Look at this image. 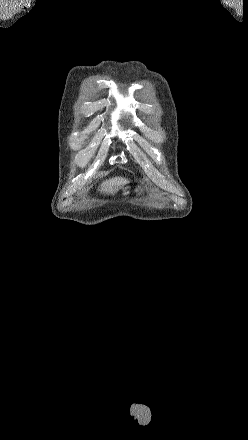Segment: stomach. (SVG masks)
I'll use <instances>...</instances> for the list:
<instances>
[{
  "label": "stomach",
  "instance_id": "obj_1",
  "mask_svg": "<svg viewBox=\"0 0 248 440\" xmlns=\"http://www.w3.org/2000/svg\"><path fill=\"white\" fill-rule=\"evenodd\" d=\"M146 189V185L145 184H141L140 186H139V190L140 191H144ZM124 191H127V188H124Z\"/></svg>",
  "mask_w": 248,
  "mask_h": 440
}]
</instances>
